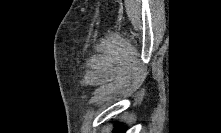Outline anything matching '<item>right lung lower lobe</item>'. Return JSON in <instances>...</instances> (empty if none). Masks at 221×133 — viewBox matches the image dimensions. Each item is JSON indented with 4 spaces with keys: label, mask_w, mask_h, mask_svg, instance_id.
I'll use <instances>...</instances> for the list:
<instances>
[{
    "label": "right lung lower lobe",
    "mask_w": 221,
    "mask_h": 133,
    "mask_svg": "<svg viewBox=\"0 0 221 133\" xmlns=\"http://www.w3.org/2000/svg\"><path fill=\"white\" fill-rule=\"evenodd\" d=\"M124 132H125V129H123V128H119L114 131V133H124Z\"/></svg>",
    "instance_id": "right-lung-lower-lobe-1"
}]
</instances>
